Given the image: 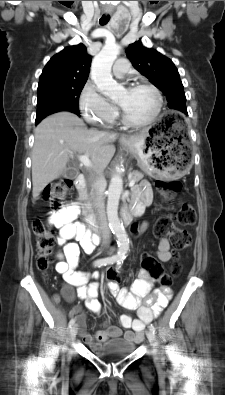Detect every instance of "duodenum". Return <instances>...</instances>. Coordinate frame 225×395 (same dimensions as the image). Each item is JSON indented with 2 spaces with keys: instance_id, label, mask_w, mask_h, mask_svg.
<instances>
[{
  "instance_id": "410a0bca",
  "label": "duodenum",
  "mask_w": 225,
  "mask_h": 395,
  "mask_svg": "<svg viewBox=\"0 0 225 395\" xmlns=\"http://www.w3.org/2000/svg\"><path fill=\"white\" fill-rule=\"evenodd\" d=\"M75 185H76V188L78 189L79 192H82L84 190L85 178L83 175L77 176V178L75 180ZM138 214H140V213L137 212L136 209H132L130 211H128V210L124 211L123 220L125 223L129 224L131 222L132 215H138ZM87 220H88L90 228L94 232L98 233L100 231L101 227H100L99 222L96 220V218L92 215H88Z\"/></svg>"
}]
</instances>
